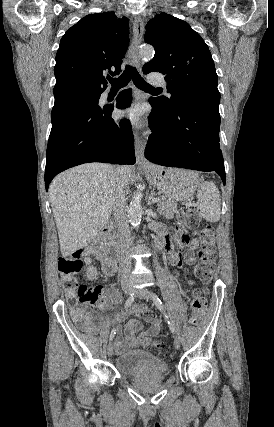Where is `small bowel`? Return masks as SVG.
Here are the masks:
<instances>
[{
    "instance_id": "small-bowel-1",
    "label": "small bowel",
    "mask_w": 274,
    "mask_h": 427,
    "mask_svg": "<svg viewBox=\"0 0 274 427\" xmlns=\"http://www.w3.org/2000/svg\"><path fill=\"white\" fill-rule=\"evenodd\" d=\"M159 224L153 226L156 232ZM199 245L195 244L192 250L198 257H206L208 254L214 257L217 251H200ZM192 250L186 251L183 255L170 251L167 260L168 262L177 267H181L183 264H194L196 261L194 252ZM97 261L100 265V270L93 265V261ZM83 262L87 266L86 278L89 281H94L99 272L105 276H112L116 271L117 261L110 252L109 243L93 244L85 248ZM196 276L200 278L202 284H209L212 281L213 271L210 268L208 261H197L196 263ZM178 284H185L188 278L185 275H178L176 278ZM187 287H193V282H187ZM141 305L144 303L141 302ZM97 308L107 310L110 307V295L104 294L101 289V293L95 302ZM144 309L143 307L141 308ZM135 311V307H134ZM73 320L79 325V327L86 333H94L96 331L105 330L108 327L107 321L95 310L87 306H75L71 310ZM151 318L148 320L151 322V326L144 332L141 331L142 322L139 318L129 319L125 325L124 334L118 332L114 339V351L117 354H123L129 350L135 349L140 344V339L144 337H154L160 333L163 329L162 321L151 314ZM113 320H120L121 316L118 313L113 314ZM147 320V319H146ZM139 334V335H138Z\"/></svg>"
}]
</instances>
